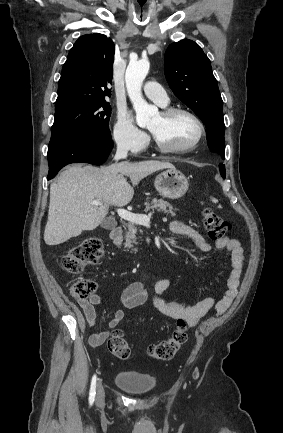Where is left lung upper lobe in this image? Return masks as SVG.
<instances>
[{
	"label": "left lung upper lobe",
	"mask_w": 283,
	"mask_h": 433,
	"mask_svg": "<svg viewBox=\"0 0 283 433\" xmlns=\"http://www.w3.org/2000/svg\"><path fill=\"white\" fill-rule=\"evenodd\" d=\"M164 61L170 88L205 124L208 146L225 150L223 101L208 57L185 39L168 46Z\"/></svg>",
	"instance_id": "5c2ea615"
}]
</instances>
